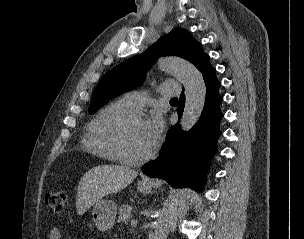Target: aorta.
I'll use <instances>...</instances> for the list:
<instances>
[{
  "mask_svg": "<svg viewBox=\"0 0 304 239\" xmlns=\"http://www.w3.org/2000/svg\"><path fill=\"white\" fill-rule=\"evenodd\" d=\"M159 68L176 77L185 88V107L181 118L182 130H190L199 120L206 99V86L202 74L190 62L178 57H165L158 61ZM172 217L171 208L165 207L154 223V239H167Z\"/></svg>",
  "mask_w": 304,
  "mask_h": 239,
  "instance_id": "obj_1",
  "label": "aorta"
}]
</instances>
